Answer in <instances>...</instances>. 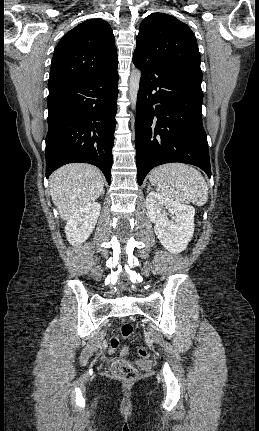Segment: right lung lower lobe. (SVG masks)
I'll return each mask as SVG.
<instances>
[{"instance_id":"right-lung-lower-lobe-1","label":"right lung lower lobe","mask_w":259,"mask_h":431,"mask_svg":"<svg viewBox=\"0 0 259 431\" xmlns=\"http://www.w3.org/2000/svg\"><path fill=\"white\" fill-rule=\"evenodd\" d=\"M118 72L49 88L46 177L73 162L97 166L111 182Z\"/></svg>"}]
</instances>
